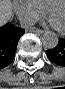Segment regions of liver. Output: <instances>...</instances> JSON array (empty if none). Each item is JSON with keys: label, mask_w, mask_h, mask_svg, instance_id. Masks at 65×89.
<instances>
[{"label": "liver", "mask_w": 65, "mask_h": 89, "mask_svg": "<svg viewBox=\"0 0 65 89\" xmlns=\"http://www.w3.org/2000/svg\"><path fill=\"white\" fill-rule=\"evenodd\" d=\"M12 16V7L10 2L1 0L0 1V22L5 23Z\"/></svg>", "instance_id": "6515ba94"}]
</instances>
